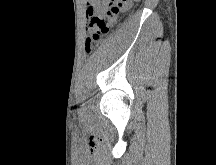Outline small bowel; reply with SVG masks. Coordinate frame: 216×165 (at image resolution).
I'll use <instances>...</instances> for the list:
<instances>
[{"label":"small bowel","instance_id":"1","mask_svg":"<svg viewBox=\"0 0 216 165\" xmlns=\"http://www.w3.org/2000/svg\"><path fill=\"white\" fill-rule=\"evenodd\" d=\"M90 5L87 6L88 10H95L96 8L99 10H103L105 6L108 4V0H88Z\"/></svg>","mask_w":216,"mask_h":165}]
</instances>
